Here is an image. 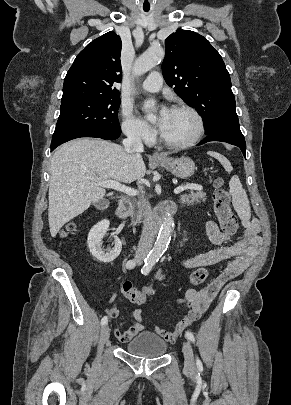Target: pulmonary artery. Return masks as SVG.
I'll list each match as a JSON object with an SVG mask.
<instances>
[{
    "label": "pulmonary artery",
    "mask_w": 291,
    "mask_h": 405,
    "mask_svg": "<svg viewBox=\"0 0 291 405\" xmlns=\"http://www.w3.org/2000/svg\"><path fill=\"white\" fill-rule=\"evenodd\" d=\"M162 84V75L157 71H153L143 81L142 88L148 92H157L161 89Z\"/></svg>",
    "instance_id": "obj_1"
}]
</instances>
